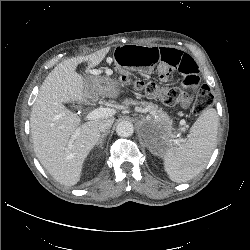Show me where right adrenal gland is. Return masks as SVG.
I'll list each match as a JSON object with an SVG mask.
<instances>
[{"mask_svg":"<svg viewBox=\"0 0 250 250\" xmlns=\"http://www.w3.org/2000/svg\"><path fill=\"white\" fill-rule=\"evenodd\" d=\"M107 135H108V132L101 134L100 139L96 144V146H99L100 149H103V142H104V139Z\"/></svg>","mask_w":250,"mask_h":250,"instance_id":"obj_1","label":"right adrenal gland"}]
</instances>
